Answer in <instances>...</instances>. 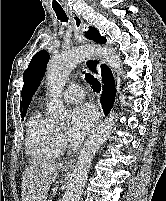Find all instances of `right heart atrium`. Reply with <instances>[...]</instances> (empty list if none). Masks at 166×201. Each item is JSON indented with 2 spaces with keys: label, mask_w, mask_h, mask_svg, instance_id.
<instances>
[{
  "label": "right heart atrium",
  "mask_w": 166,
  "mask_h": 201,
  "mask_svg": "<svg viewBox=\"0 0 166 201\" xmlns=\"http://www.w3.org/2000/svg\"><path fill=\"white\" fill-rule=\"evenodd\" d=\"M59 137H60V142H61L62 147L65 146L66 139H65L64 135H60Z\"/></svg>",
  "instance_id": "d8ad5b80"
}]
</instances>
